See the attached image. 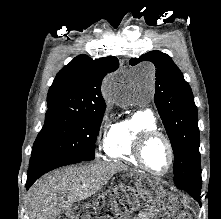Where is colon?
<instances>
[{"instance_id":"1","label":"colon","mask_w":221,"mask_h":219,"mask_svg":"<svg viewBox=\"0 0 221 219\" xmlns=\"http://www.w3.org/2000/svg\"><path fill=\"white\" fill-rule=\"evenodd\" d=\"M146 198V197H144ZM123 202L126 211L133 210L135 204L133 194L123 189L112 190L101 195L90 204L78 206L63 214L58 219H110L114 218L119 203ZM162 213L161 219H191L185 210H172L164 201L158 204Z\"/></svg>"}]
</instances>
